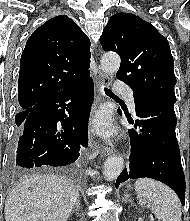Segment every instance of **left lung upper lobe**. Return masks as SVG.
Returning a JSON list of instances; mask_svg holds the SVG:
<instances>
[{
	"label": "left lung upper lobe",
	"mask_w": 190,
	"mask_h": 221,
	"mask_svg": "<svg viewBox=\"0 0 190 221\" xmlns=\"http://www.w3.org/2000/svg\"><path fill=\"white\" fill-rule=\"evenodd\" d=\"M104 51L117 52L116 74L134 91V97L176 102L174 60L167 39L156 28L131 13L113 15L100 37Z\"/></svg>",
	"instance_id": "obj_1"
}]
</instances>
